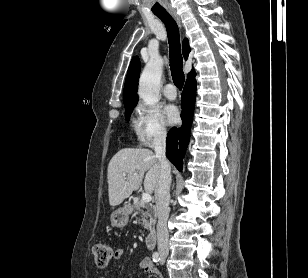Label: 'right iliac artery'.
<instances>
[{
	"mask_svg": "<svg viewBox=\"0 0 308 278\" xmlns=\"http://www.w3.org/2000/svg\"><path fill=\"white\" fill-rule=\"evenodd\" d=\"M152 259L154 262H158L160 260V256L158 252H154L152 255Z\"/></svg>",
	"mask_w": 308,
	"mask_h": 278,
	"instance_id": "1",
	"label": "right iliac artery"
}]
</instances>
